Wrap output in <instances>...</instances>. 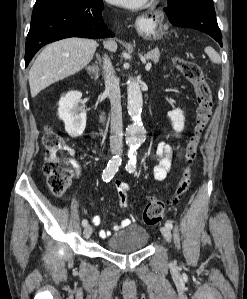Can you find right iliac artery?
I'll list each match as a JSON object with an SVG mask.
<instances>
[{"instance_id":"82829eb1","label":"right iliac artery","mask_w":247,"mask_h":299,"mask_svg":"<svg viewBox=\"0 0 247 299\" xmlns=\"http://www.w3.org/2000/svg\"><path fill=\"white\" fill-rule=\"evenodd\" d=\"M121 157L119 156H114L107 164V167L103 171L102 179L105 182H109L115 175V173L118 171L119 166L121 165ZM88 221L84 219L82 221V226L85 227L87 226Z\"/></svg>"}]
</instances>
